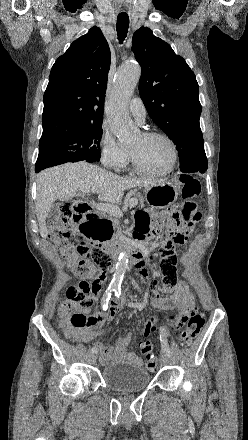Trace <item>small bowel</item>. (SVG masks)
Returning a JSON list of instances; mask_svg holds the SVG:
<instances>
[{
  "label": "small bowel",
  "mask_w": 248,
  "mask_h": 440,
  "mask_svg": "<svg viewBox=\"0 0 248 440\" xmlns=\"http://www.w3.org/2000/svg\"><path fill=\"white\" fill-rule=\"evenodd\" d=\"M165 218V214H153L150 216L147 212H139L135 217L136 233L135 235L144 239L145 237H152L156 231L160 228ZM176 218V217H174ZM176 219L169 221L170 224H174ZM188 233L192 227H183ZM180 261L178 257H159L157 263V270L159 276L162 278L161 289H157L160 285L158 280L152 279L147 282V285L151 288L148 290H142L138 285L137 289L141 293V303L144 305L148 299L151 300L152 305L156 309L160 310H173L180 309L184 312H188L193 309L195 305L194 298L190 293L187 285L181 280H178ZM141 268V277L143 281H146L148 277V269L143 264ZM110 272V267H103L102 271L97 274L99 277L96 279L98 283V289L96 297L101 291L102 283ZM171 294V295H166ZM77 309V307H69L65 303L61 304L58 308V316L60 319V326L64 334L74 341H95V347L99 349L100 363L107 365L118 360H126L138 365L143 364V359L136 355L134 352L128 350V346L131 343L132 334H126L119 338L114 348L104 346L100 341V337L103 334L102 327L109 321H111L119 312V308L112 304L108 310L97 312L87 316L90 323L84 327H75L71 324V311ZM83 314H88L87 310L77 311ZM175 328H180L182 323L174 325Z\"/></svg>",
  "instance_id": "c3829d8e"
}]
</instances>
